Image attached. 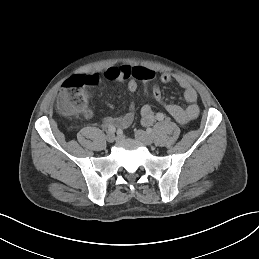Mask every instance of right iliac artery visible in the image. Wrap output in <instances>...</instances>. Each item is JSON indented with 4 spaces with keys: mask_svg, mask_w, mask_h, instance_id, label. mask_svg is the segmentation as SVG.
Segmentation results:
<instances>
[{
    "mask_svg": "<svg viewBox=\"0 0 259 259\" xmlns=\"http://www.w3.org/2000/svg\"><path fill=\"white\" fill-rule=\"evenodd\" d=\"M115 131H116V129H115L114 126H109V127H108V132H109V133H115Z\"/></svg>",
    "mask_w": 259,
    "mask_h": 259,
    "instance_id": "1",
    "label": "right iliac artery"
}]
</instances>
